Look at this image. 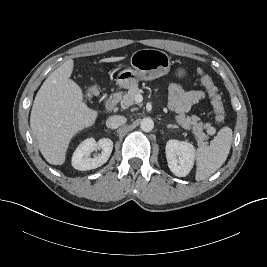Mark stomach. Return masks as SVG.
I'll return each instance as SVG.
<instances>
[{"instance_id": "stomach-1", "label": "stomach", "mask_w": 267, "mask_h": 267, "mask_svg": "<svg viewBox=\"0 0 267 267\" xmlns=\"http://www.w3.org/2000/svg\"><path fill=\"white\" fill-rule=\"evenodd\" d=\"M130 63L132 68L121 71L117 77V83L124 89H130L141 80L149 81L168 74L171 58L161 50L140 49L132 54ZM177 75L183 76L184 71L178 69Z\"/></svg>"}]
</instances>
